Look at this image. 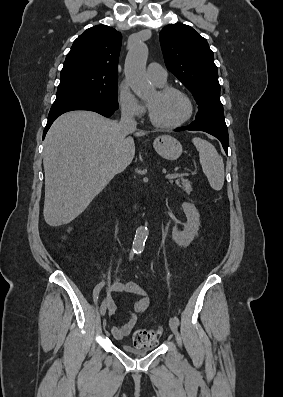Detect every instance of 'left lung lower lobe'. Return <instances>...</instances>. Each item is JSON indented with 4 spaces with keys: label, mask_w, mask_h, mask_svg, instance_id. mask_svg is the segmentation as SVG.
<instances>
[{
    "label": "left lung lower lobe",
    "mask_w": 283,
    "mask_h": 397,
    "mask_svg": "<svg viewBox=\"0 0 283 397\" xmlns=\"http://www.w3.org/2000/svg\"><path fill=\"white\" fill-rule=\"evenodd\" d=\"M199 130L207 132L218 138L227 153L228 151V129L225 122L213 119H196L190 125L175 129V131Z\"/></svg>",
    "instance_id": "0a47b994"
}]
</instances>
